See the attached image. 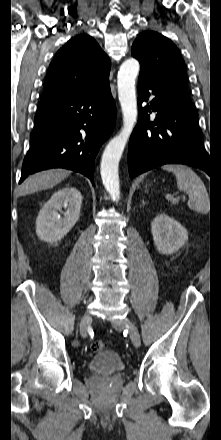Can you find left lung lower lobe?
<instances>
[{"mask_svg": "<svg viewBox=\"0 0 221 440\" xmlns=\"http://www.w3.org/2000/svg\"><path fill=\"white\" fill-rule=\"evenodd\" d=\"M138 94L139 118L128 152L130 177L169 163L194 166L210 175L211 164L192 102L143 76L138 79ZM151 94L155 97L143 107ZM151 110L157 112L154 121L147 114Z\"/></svg>", "mask_w": 221, "mask_h": 440, "instance_id": "1", "label": "left lung lower lobe"}]
</instances>
